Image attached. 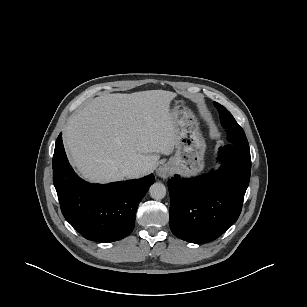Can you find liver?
<instances>
[{
  "label": "liver",
  "instance_id": "obj_1",
  "mask_svg": "<svg viewBox=\"0 0 307 307\" xmlns=\"http://www.w3.org/2000/svg\"><path fill=\"white\" fill-rule=\"evenodd\" d=\"M176 94L148 90L96 97L67 121L63 141L81 176L95 183L121 181L127 168L142 167L138 178L151 173L162 154L177 143L170 113Z\"/></svg>",
  "mask_w": 307,
  "mask_h": 307
}]
</instances>
